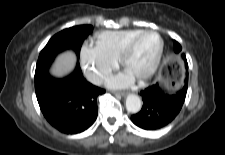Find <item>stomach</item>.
<instances>
[{"label": "stomach", "mask_w": 225, "mask_h": 155, "mask_svg": "<svg viewBox=\"0 0 225 155\" xmlns=\"http://www.w3.org/2000/svg\"><path fill=\"white\" fill-rule=\"evenodd\" d=\"M159 82L168 92L177 90L181 85V81L178 76L174 72H170L166 66H164L159 72Z\"/></svg>", "instance_id": "obj_1"}]
</instances>
